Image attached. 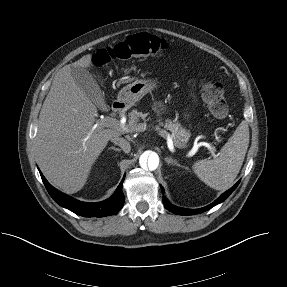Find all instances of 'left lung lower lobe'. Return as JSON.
<instances>
[{
	"instance_id": "obj_1",
	"label": "left lung lower lobe",
	"mask_w": 287,
	"mask_h": 287,
	"mask_svg": "<svg viewBox=\"0 0 287 287\" xmlns=\"http://www.w3.org/2000/svg\"><path fill=\"white\" fill-rule=\"evenodd\" d=\"M240 181H238L232 188H230L229 190H227L226 192H224L217 200H215L212 204L200 208V209H185V208H179L176 207L172 204H170L166 199L163 200L165 207L178 215H194V214H199L202 213L204 211H207L209 209H211L212 207H214L215 205L223 202L225 199H227L229 197V195L236 189V187L238 186Z\"/></svg>"
}]
</instances>
